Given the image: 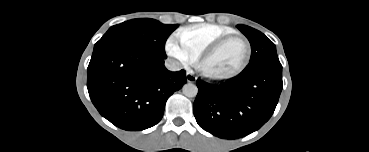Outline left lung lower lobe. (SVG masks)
<instances>
[{"mask_svg":"<svg viewBox=\"0 0 369 152\" xmlns=\"http://www.w3.org/2000/svg\"><path fill=\"white\" fill-rule=\"evenodd\" d=\"M194 115L205 131L223 139L244 137L272 116L282 91V68L264 67L219 84L197 80Z\"/></svg>","mask_w":369,"mask_h":152,"instance_id":"1","label":"left lung lower lobe"}]
</instances>
